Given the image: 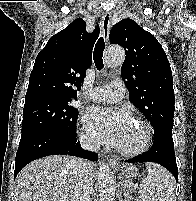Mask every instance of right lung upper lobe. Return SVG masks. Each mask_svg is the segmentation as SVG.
<instances>
[{"label":"right lung upper lobe","instance_id":"1","mask_svg":"<svg viewBox=\"0 0 196 201\" xmlns=\"http://www.w3.org/2000/svg\"><path fill=\"white\" fill-rule=\"evenodd\" d=\"M100 28L86 32L81 18L52 36L36 57L30 74L26 99L47 97L70 100L77 91L86 69L92 64V49Z\"/></svg>","mask_w":196,"mask_h":201}]
</instances>
